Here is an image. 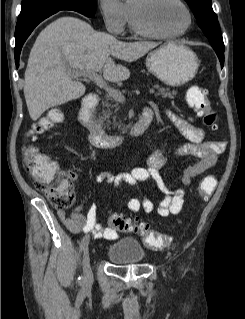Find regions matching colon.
<instances>
[{"label":"colon","instance_id":"colon-1","mask_svg":"<svg viewBox=\"0 0 245 319\" xmlns=\"http://www.w3.org/2000/svg\"><path fill=\"white\" fill-rule=\"evenodd\" d=\"M188 105L203 118L206 126L216 130L218 128V116L212 109L204 89L191 87L187 91ZM63 118L60 111L51 110L45 117L41 118L31 128V136L43 134L59 123ZM24 162L35 187L44 192L51 203L57 209L65 210L73 206L75 193L72 185V174L69 171L60 170L56 161L46 154L40 152L34 146L24 148ZM216 179L212 174L203 178L200 183L199 192L203 198H208L214 191ZM110 222L114 228L135 233L141 236L146 247L160 249L170 245V238L150 228L146 221L134 220L132 218L113 213Z\"/></svg>","mask_w":245,"mask_h":319}]
</instances>
